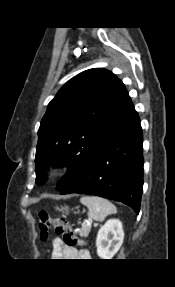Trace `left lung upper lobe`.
I'll use <instances>...</instances> for the list:
<instances>
[{
	"label": "left lung upper lobe",
	"mask_w": 175,
	"mask_h": 287,
	"mask_svg": "<svg viewBox=\"0 0 175 287\" xmlns=\"http://www.w3.org/2000/svg\"><path fill=\"white\" fill-rule=\"evenodd\" d=\"M125 85L100 68L69 80L49 103L38 131L36 183L50 166L68 168L57 184L61 191L87 170L102 143L134 114Z\"/></svg>",
	"instance_id": "1"
}]
</instances>
